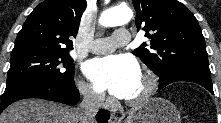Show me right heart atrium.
Wrapping results in <instances>:
<instances>
[{"mask_svg":"<svg viewBox=\"0 0 221 123\" xmlns=\"http://www.w3.org/2000/svg\"><path fill=\"white\" fill-rule=\"evenodd\" d=\"M77 87L83 98L90 104L102 105L105 102L103 93L95 89L91 84L79 79Z\"/></svg>","mask_w":221,"mask_h":123,"instance_id":"right-heart-atrium-1","label":"right heart atrium"}]
</instances>
